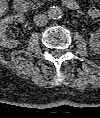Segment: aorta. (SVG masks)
I'll use <instances>...</instances> for the list:
<instances>
[{"instance_id": "762f6f07", "label": "aorta", "mask_w": 100, "mask_h": 118, "mask_svg": "<svg viewBox=\"0 0 100 118\" xmlns=\"http://www.w3.org/2000/svg\"><path fill=\"white\" fill-rule=\"evenodd\" d=\"M47 16L49 19H60L63 16V10L58 6L49 7L47 10Z\"/></svg>"}]
</instances>
